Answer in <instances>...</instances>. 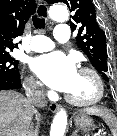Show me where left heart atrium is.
<instances>
[{
    "mask_svg": "<svg viewBox=\"0 0 117 136\" xmlns=\"http://www.w3.org/2000/svg\"><path fill=\"white\" fill-rule=\"evenodd\" d=\"M32 69L48 87L65 93L77 74L74 59L59 51L37 57Z\"/></svg>",
    "mask_w": 117,
    "mask_h": 136,
    "instance_id": "left-heart-atrium-1",
    "label": "left heart atrium"
}]
</instances>
